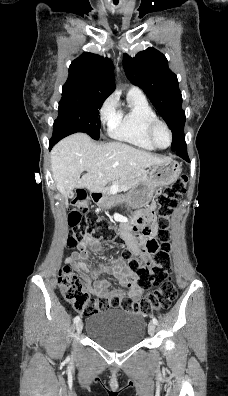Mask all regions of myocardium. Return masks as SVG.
<instances>
[{"instance_id":"myocardium-1","label":"myocardium","mask_w":228,"mask_h":396,"mask_svg":"<svg viewBox=\"0 0 228 396\" xmlns=\"http://www.w3.org/2000/svg\"><path fill=\"white\" fill-rule=\"evenodd\" d=\"M158 126H163V127L166 129V131L168 132V135H169V143H168V145L165 146V147H160V146L157 145V143L155 142V139H154V132H155V129H156ZM146 135H147V138H148V140L150 141V143H151V144L154 146V148H156V149H161V150L167 149L168 147L171 146L172 141H173V135H172V131H171L169 125H168L165 121H163V120H161V119H159V118H155V119L151 120V121L147 124V127H146Z\"/></svg>"}]
</instances>
